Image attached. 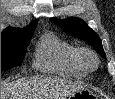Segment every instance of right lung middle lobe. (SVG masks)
I'll return each instance as SVG.
<instances>
[{"mask_svg": "<svg viewBox=\"0 0 115 99\" xmlns=\"http://www.w3.org/2000/svg\"><path fill=\"white\" fill-rule=\"evenodd\" d=\"M32 35L1 37V71L20 65Z\"/></svg>", "mask_w": 115, "mask_h": 99, "instance_id": "right-lung-middle-lobe-1", "label": "right lung middle lobe"}]
</instances>
